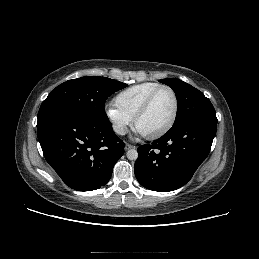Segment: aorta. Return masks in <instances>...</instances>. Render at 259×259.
I'll return each mask as SVG.
<instances>
[{
	"mask_svg": "<svg viewBox=\"0 0 259 259\" xmlns=\"http://www.w3.org/2000/svg\"><path fill=\"white\" fill-rule=\"evenodd\" d=\"M126 155L129 160H136L138 158V152L135 149L128 150Z\"/></svg>",
	"mask_w": 259,
	"mask_h": 259,
	"instance_id": "aorta-1",
	"label": "aorta"
}]
</instances>
